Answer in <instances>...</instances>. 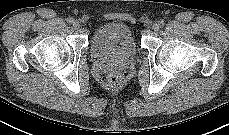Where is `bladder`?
Instances as JSON below:
<instances>
[{
    "instance_id": "31cf9c89",
    "label": "bladder",
    "mask_w": 229,
    "mask_h": 135,
    "mask_svg": "<svg viewBox=\"0 0 229 135\" xmlns=\"http://www.w3.org/2000/svg\"><path fill=\"white\" fill-rule=\"evenodd\" d=\"M96 58L129 59L137 54V43L131 29L118 22L106 23L94 33L90 44Z\"/></svg>"
}]
</instances>
